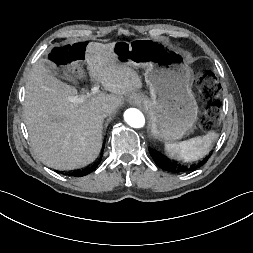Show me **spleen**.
Returning <instances> with one entry per match:
<instances>
[{
	"mask_svg": "<svg viewBox=\"0 0 253 253\" xmlns=\"http://www.w3.org/2000/svg\"><path fill=\"white\" fill-rule=\"evenodd\" d=\"M217 134L208 132L203 137H195L179 143L165 144L166 155L175 159L185 161H196L209 154L213 141Z\"/></svg>",
	"mask_w": 253,
	"mask_h": 253,
	"instance_id": "obj_1",
	"label": "spleen"
}]
</instances>
